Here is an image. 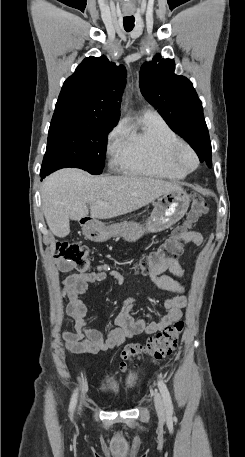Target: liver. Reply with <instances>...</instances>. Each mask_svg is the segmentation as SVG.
<instances>
[{
  "mask_svg": "<svg viewBox=\"0 0 245 457\" xmlns=\"http://www.w3.org/2000/svg\"><path fill=\"white\" fill-rule=\"evenodd\" d=\"M172 190L183 188L177 182L136 174L91 176L81 168H61L44 178L41 198L50 231L63 239L70 233V218L80 220L89 214L87 204L92 218H112L137 210Z\"/></svg>",
  "mask_w": 245,
  "mask_h": 457,
  "instance_id": "liver-1",
  "label": "liver"
}]
</instances>
